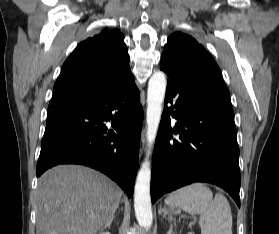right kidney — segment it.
<instances>
[{
  "label": "right kidney",
  "instance_id": "ca27d5eb",
  "mask_svg": "<svg viewBox=\"0 0 279 234\" xmlns=\"http://www.w3.org/2000/svg\"><path fill=\"white\" fill-rule=\"evenodd\" d=\"M101 234H111L110 232H103V233H101Z\"/></svg>",
  "mask_w": 279,
  "mask_h": 234
}]
</instances>
